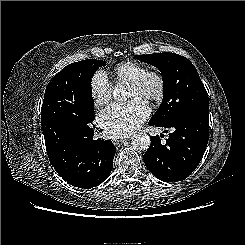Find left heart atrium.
Wrapping results in <instances>:
<instances>
[{
	"label": "left heart atrium",
	"instance_id": "obj_1",
	"mask_svg": "<svg viewBox=\"0 0 245 245\" xmlns=\"http://www.w3.org/2000/svg\"><path fill=\"white\" fill-rule=\"evenodd\" d=\"M146 102L135 97L125 103H114L101 111L100 125L112 136H125L140 126L149 116Z\"/></svg>",
	"mask_w": 245,
	"mask_h": 245
}]
</instances>
